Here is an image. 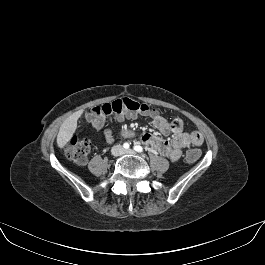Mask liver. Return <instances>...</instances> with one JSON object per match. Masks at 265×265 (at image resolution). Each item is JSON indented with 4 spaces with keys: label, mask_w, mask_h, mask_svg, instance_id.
<instances>
[{
    "label": "liver",
    "mask_w": 265,
    "mask_h": 265,
    "mask_svg": "<svg viewBox=\"0 0 265 265\" xmlns=\"http://www.w3.org/2000/svg\"><path fill=\"white\" fill-rule=\"evenodd\" d=\"M82 115V111H77L69 116L60 126L58 135H57V145L59 148H64L65 145L69 142L75 130L77 128V121Z\"/></svg>",
    "instance_id": "6515ba94"
}]
</instances>
